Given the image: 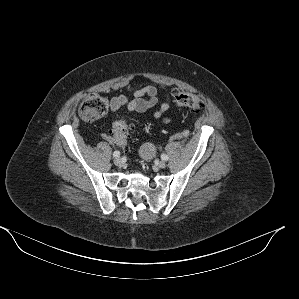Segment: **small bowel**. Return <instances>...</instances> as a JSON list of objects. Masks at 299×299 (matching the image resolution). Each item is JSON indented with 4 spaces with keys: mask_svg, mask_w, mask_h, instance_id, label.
Returning a JSON list of instances; mask_svg holds the SVG:
<instances>
[{
    "mask_svg": "<svg viewBox=\"0 0 299 299\" xmlns=\"http://www.w3.org/2000/svg\"><path fill=\"white\" fill-rule=\"evenodd\" d=\"M164 92V101L160 107L154 112L152 118L161 123H169L171 118L166 116V112L171 108V93L165 86H160ZM132 98L126 95H118L111 98L109 109L111 112H117L120 108L126 107L128 111L139 114L154 107L158 103V88L153 85L135 86L129 88ZM103 139L107 142L117 144L113 135L104 133ZM119 146V145H118Z\"/></svg>",
    "mask_w": 299,
    "mask_h": 299,
    "instance_id": "c3829d8e",
    "label": "small bowel"
}]
</instances>
